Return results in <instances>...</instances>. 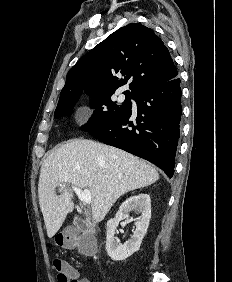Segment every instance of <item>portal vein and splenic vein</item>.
Instances as JSON below:
<instances>
[{
	"label": "portal vein and splenic vein",
	"instance_id": "portal-vein-and-splenic-vein-1",
	"mask_svg": "<svg viewBox=\"0 0 232 282\" xmlns=\"http://www.w3.org/2000/svg\"><path fill=\"white\" fill-rule=\"evenodd\" d=\"M72 190L83 203L89 204L91 202V192L89 189L82 190L76 186H72Z\"/></svg>",
	"mask_w": 232,
	"mask_h": 282
}]
</instances>
